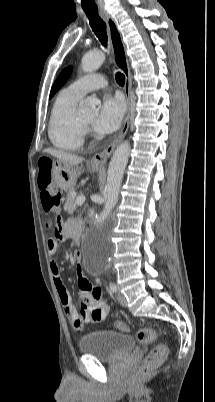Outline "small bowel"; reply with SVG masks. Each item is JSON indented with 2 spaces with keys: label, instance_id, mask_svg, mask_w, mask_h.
Returning <instances> with one entry per match:
<instances>
[{
  "label": "small bowel",
  "instance_id": "1",
  "mask_svg": "<svg viewBox=\"0 0 215 402\" xmlns=\"http://www.w3.org/2000/svg\"><path fill=\"white\" fill-rule=\"evenodd\" d=\"M55 235L57 239L50 238L47 240L48 253L52 257L58 252V240L65 242L75 235V222H59L55 228ZM76 262L80 297L83 301V307L80 312L75 308L71 296L61 278L60 267L54 260L51 263V272L66 317L71 322L73 329L79 331L83 328L84 324L102 321L109 313V306L102 299L101 289L93 285L91 281L83 275L80 257L76 258Z\"/></svg>",
  "mask_w": 215,
  "mask_h": 402
}]
</instances>
